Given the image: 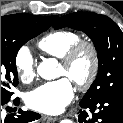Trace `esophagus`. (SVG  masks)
I'll return each mask as SVG.
<instances>
[{"mask_svg":"<svg viewBox=\"0 0 123 123\" xmlns=\"http://www.w3.org/2000/svg\"><path fill=\"white\" fill-rule=\"evenodd\" d=\"M43 118L48 122H55V121L59 120V117H56V116L45 115V116H43Z\"/></svg>","mask_w":123,"mask_h":123,"instance_id":"esophagus-1","label":"esophagus"}]
</instances>
